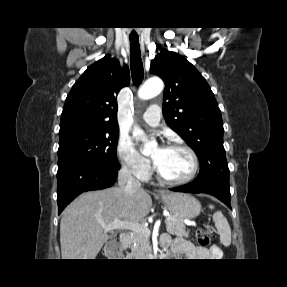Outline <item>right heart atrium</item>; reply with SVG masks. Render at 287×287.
<instances>
[{
  "mask_svg": "<svg viewBox=\"0 0 287 287\" xmlns=\"http://www.w3.org/2000/svg\"><path fill=\"white\" fill-rule=\"evenodd\" d=\"M117 155L121 165L130 174L140 180L149 178L152 171L150 160L141 155L129 139H119L117 144Z\"/></svg>",
  "mask_w": 287,
  "mask_h": 287,
  "instance_id": "right-heart-atrium-1",
  "label": "right heart atrium"
}]
</instances>
